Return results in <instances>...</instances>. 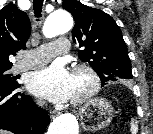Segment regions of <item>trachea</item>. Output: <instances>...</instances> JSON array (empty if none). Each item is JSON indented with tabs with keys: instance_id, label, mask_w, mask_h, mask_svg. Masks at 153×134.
I'll return each instance as SVG.
<instances>
[{
	"instance_id": "trachea-1",
	"label": "trachea",
	"mask_w": 153,
	"mask_h": 134,
	"mask_svg": "<svg viewBox=\"0 0 153 134\" xmlns=\"http://www.w3.org/2000/svg\"><path fill=\"white\" fill-rule=\"evenodd\" d=\"M43 1L44 0H33V8L37 18L41 17Z\"/></svg>"
}]
</instances>
